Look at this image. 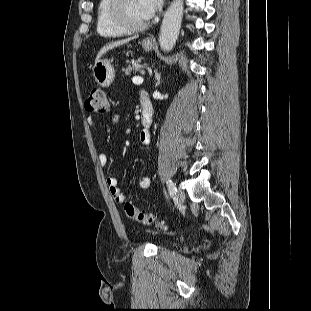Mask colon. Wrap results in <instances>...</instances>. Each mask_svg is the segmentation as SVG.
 Returning a JSON list of instances; mask_svg holds the SVG:
<instances>
[{
    "instance_id": "1",
    "label": "colon",
    "mask_w": 311,
    "mask_h": 311,
    "mask_svg": "<svg viewBox=\"0 0 311 311\" xmlns=\"http://www.w3.org/2000/svg\"><path fill=\"white\" fill-rule=\"evenodd\" d=\"M85 109L87 112L93 114L106 113L108 110V101L105 91L101 88H94L85 102ZM124 211L128 218L138 223L147 226H155L160 231L168 230L165 224L157 222L152 215L141 211L130 202H124Z\"/></svg>"
}]
</instances>
